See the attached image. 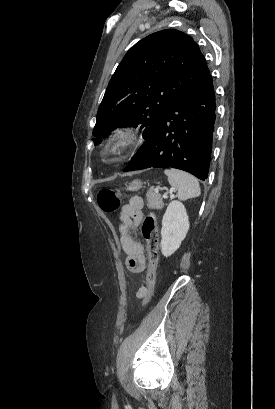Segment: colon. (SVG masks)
Here are the masks:
<instances>
[{"label":"colon","mask_w":275,"mask_h":409,"mask_svg":"<svg viewBox=\"0 0 275 409\" xmlns=\"http://www.w3.org/2000/svg\"><path fill=\"white\" fill-rule=\"evenodd\" d=\"M97 202L106 213L119 211L122 206V198L116 189L104 188L98 191ZM141 235L147 244L148 270L145 282V290L142 295V304L146 305L152 296L155 284V276L159 260V237L157 232L156 212L150 211L141 224Z\"/></svg>","instance_id":"5ec220e1"}]
</instances>
